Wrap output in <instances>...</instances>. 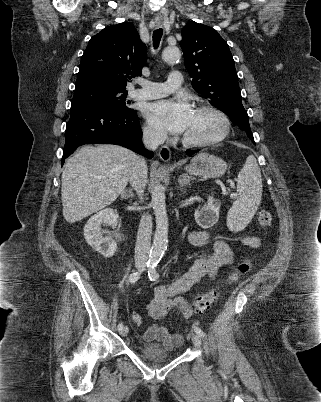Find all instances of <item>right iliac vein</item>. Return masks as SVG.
I'll return each instance as SVG.
<instances>
[{"instance_id":"63e3f726","label":"right iliac vein","mask_w":321,"mask_h":402,"mask_svg":"<svg viewBox=\"0 0 321 402\" xmlns=\"http://www.w3.org/2000/svg\"><path fill=\"white\" fill-rule=\"evenodd\" d=\"M128 334V327L127 326H124L122 329H121V331H120V335L121 336H126Z\"/></svg>"}]
</instances>
